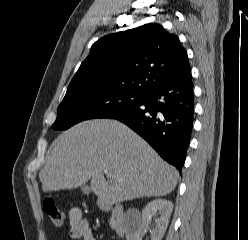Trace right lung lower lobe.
I'll use <instances>...</instances> for the list:
<instances>
[{
  "label": "right lung lower lobe",
  "instance_id": "obj_1",
  "mask_svg": "<svg viewBox=\"0 0 248 240\" xmlns=\"http://www.w3.org/2000/svg\"><path fill=\"white\" fill-rule=\"evenodd\" d=\"M191 79L190 71L156 85L136 105L107 117L128 125L179 172L185 162L193 127Z\"/></svg>",
  "mask_w": 248,
  "mask_h": 240
}]
</instances>
